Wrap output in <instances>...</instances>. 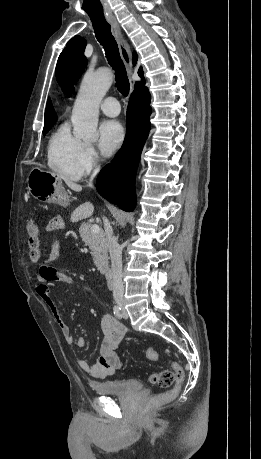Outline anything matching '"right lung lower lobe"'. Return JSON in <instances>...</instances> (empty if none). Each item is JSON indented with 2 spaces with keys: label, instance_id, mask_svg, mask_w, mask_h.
<instances>
[{
  "label": "right lung lower lobe",
  "instance_id": "1",
  "mask_svg": "<svg viewBox=\"0 0 261 459\" xmlns=\"http://www.w3.org/2000/svg\"><path fill=\"white\" fill-rule=\"evenodd\" d=\"M150 114L148 90L133 92L127 108V131L122 148L112 163L101 170L96 181L99 194L127 212L133 211L136 205L135 174L150 129Z\"/></svg>",
  "mask_w": 261,
  "mask_h": 459
}]
</instances>
